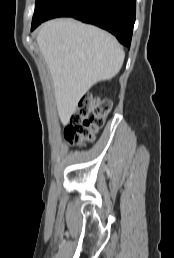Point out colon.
Returning <instances> with one entry per match:
<instances>
[{
  "label": "colon",
  "instance_id": "1",
  "mask_svg": "<svg viewBox=\"0 0 174 258\" xmlns=\"http://www.w3.org/2000/svg\"><path fill=\"white\" fill-rule=\"evenodd\" d=\"M111 107L109 99L83 96L64 130L67 142L79 146L92 141L105 124Z\"/></svg>",
  "mask_w": 174,
  "mask_h": 258
}]
</instances>
